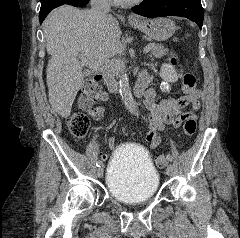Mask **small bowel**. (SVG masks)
Returning <instances> with one entry per match:
<instances>
[{
	"mask_svg": "<svg viewBox=\"0 0 240 238\" xmlns=\"http://www.w3.org/2000/svg\"><path fill=\"white\" fill-rule=\"evenodd\" d=\"M201 91L195 89L190 94L178 98H167L160 102L156 100L155 90L153 88L147 90L145 94L144 104L148 111L149 132L146 140L151 147L159 145L161 139L158 131L165 128L166 125H172L178 128L187 118L196 119V111L200 108ZM109 96L106 93H101L99 100L102 102L108 101ZM90 116L94 120H101L104 117V108L95 106L89 110ZM108 146H112L111 150L115 151V141L110 138ZM99 158L103 162H108V154H100Z\"/></svg>",
	"mask_w": 240,
	"mask_h": 238,
	"instance_id": "small-bowel-1",
	"label": "small bowel"
}]
</instances>
